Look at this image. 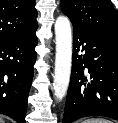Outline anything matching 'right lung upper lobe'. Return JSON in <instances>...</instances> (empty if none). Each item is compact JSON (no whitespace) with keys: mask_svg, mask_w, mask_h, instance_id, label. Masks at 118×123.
Segmentation results:
<instances>
[{"mask_svg":"<svg viewBox=\"0 0 118 123\" xmlns=\"http://www.w3.org/2000/svg\"><path fill=\"white\" fill-rule=\"evenodd\" d=\"M36 18L35 0H0V42L31 34Z\"/></svg>","mask_w":118,"mask_h":123,"instance_id":"obj_1","label":"right lung upper lobe"}]
</instances>
